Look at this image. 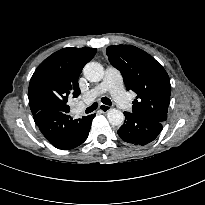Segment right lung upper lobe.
Listing matches in <instances>:
<instances>
[{"label": "right lung upper lobe", "mask_w": 205, "mask_h": 205, "mask_svg": "<svg viewBox=\"0 0 205 205\" xmlns=\"http://www.w3.org/2000/svg\"><path fill=\"white\" fill-rule=\"evenodd\" d=\"M95 54L93 48L69 47L46 58L30 80L28 97L32 114L48 107L68 113V99L80 95L78 78Z\"/></svg>", "instance_id": "1"}]
</instances>
